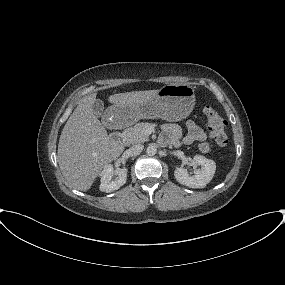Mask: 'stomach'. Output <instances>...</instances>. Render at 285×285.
<instances>
[{"mask_svg":"<svg viewBox=\"0 0 285 285\" xmlns=\"http://www.w3.org/2000/svg\"><path fill=\"white\" fill-rule=\"evenodd\" d=\"M195 105V90L187 84H168L161 87L155 96L132 105H113L109 108L112 117L120 124L140 119H163L179 121L187 117Z\"/></svg>","mask_w":285,"mask_h":285,"instance_id":"0dacf381","label":"stomach"}]
</instances>
